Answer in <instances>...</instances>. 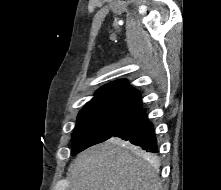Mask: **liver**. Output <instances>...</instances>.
Here are the masks:
<instances>
[{"instance_id":"1","label":"liver","mask_w":221,"mask_h":190,"mask_svg":"<svg viewBox=\"0 0 221 190\" xmlns=\"http://www.w3.org/2000/svg\"><path fill=\"white\" fill-rule=\"evenodd\" d=\"M70 190H159L155 158L119 139L93 146L70 164Z\"/></svg>"}]
</instances>
